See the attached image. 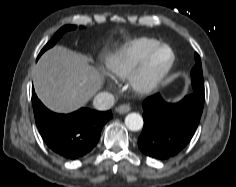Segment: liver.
<instances>
[{"label": "liver", "mask_w": 236, "mask_h": 187, "mask_svg": "<svg viewBox=\"0 0 236 187\" xmlns=\"http://www.w3.org/2000/svg\"><path fill=\"white\" fill-rule=\"evenodd\" d=\"M38 98L50 110L69 113L84 106L102 86L103 75L86 56L63 46L46 51L34 69Z\"/></svg>", "instance_id": "1"}]
</instances>
